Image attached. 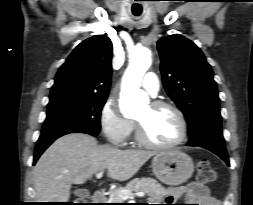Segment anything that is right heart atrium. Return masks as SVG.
I'll use <instances>...</instances> for the list:
<instances>
[{
  "mask_svg": "<svg viewBox=\"0 0 253 205\" xmlns=\"http://www.w3.org/2000/svg\"><path fill=\"white\" fill-rule=\"evenodd\" d=\"M99 124L106 140L115 146L126 143L133 130V122L120 114L115 102L108 99L99 113Z\"/></svg>",
  "mask_w": 253,
  "mask_h": 205,
  "instance_id": "1",
  "label": "right heart atrium"
}]
</instances>
